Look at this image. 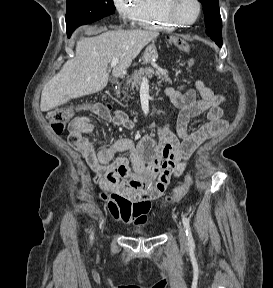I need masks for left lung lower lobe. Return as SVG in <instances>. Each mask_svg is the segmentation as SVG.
<instances>
[{
	"instance_id": "obj_1",
	"label": "left lung lower lobe",
	"mask_w": 273,
	"mask_h": 288,
	"mask_svg": "<svg viewBox=\"0 0 273 288\" xmlns=\"http://www.w3.org/2000/svg\"><path fill=\"white\" fill-rule=\"evenodd\" d=\"M218 44L219 47L222 46V42H216Z\"/></svg>"
}]
</instances>
